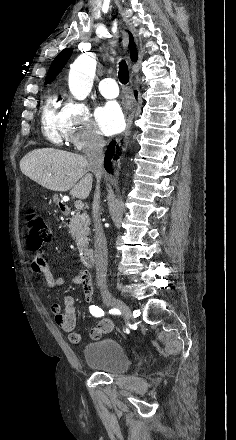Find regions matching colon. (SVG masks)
Here are the masks:
<instances>
[{
	"label": "colon",
	"mask_w": 236,
	"mask_h": 440,
	"mask_svg": "<svg viewBox=\"0 0 236 440\" xmlns=\"http://www.w3.org/2000/svg\"><path fill=\"white\" fill-rule=\"evenodd\" d=\"M27 244L32 250H39L52 237L51 229L37 212H29L26 217Z\"/></svg>",
	"instance_id": "obj_1"
}]
</instances>
